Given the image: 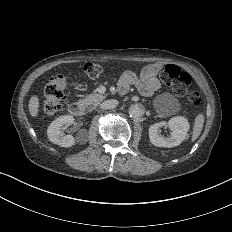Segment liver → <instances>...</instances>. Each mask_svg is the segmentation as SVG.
<instances>
[{
  "instance_id": "obj_1",
  "label": "liver",
  "mask_w": 232,
  "mask_h": 232,
  "mask_svg": "<svg viewBox=\"0 0 232 232\" xmlns=\"http://www.w3.org/2000/svg\"><path fill=\"white\" fill-rule=\"evenodd\" d=\"M29 109L31 114L34 116L37 113L38 110V100L37 98H32L29 102Z\"/></svg>"
}]
</instances>
